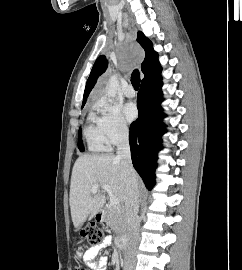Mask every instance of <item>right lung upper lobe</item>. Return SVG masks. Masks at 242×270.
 <instances>
[{
	"label": "right lung upper lobe",
	"mask_w": 242,
	"mask_h": 270,
	"mask_svg": "<svg viewBox=\"0 0 242 270\" xmlns=\"http://www.w3.org/2000/svg\"><path fill=\"white\" fill-rule=\"evenodd\" d=\"M137 42L145 50V59L142 62L141 69L146 77L151 72H153L154 70H156L157 68L160 67V63L158 61V54L154 51L152 42L142 32H138ZM107 64H108V62H107L105 56H100L96 60L94 66L91 70L90 76L87 80V83H86L82 106H84L91 89L93 88V86L96 83L97 78L103 72H105V70L107 68Z\"/></svg>",
	"instance_id": "obj_1"
}]
</instances>
